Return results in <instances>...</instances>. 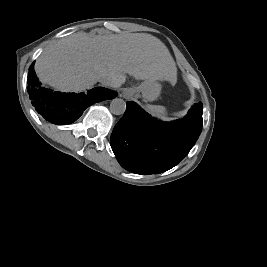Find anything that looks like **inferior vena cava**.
I'll use <instances>...</instances> for the list:
<instances>
[{
    "label": "inferior vena cava",
    "mask_w": 267,
    "mask_h": 267,
    "mask_svg": "<svg viewBox=\"0 0 267 267\" xmlns=\"http://www.w3.org/2000/svg\"><path fill=\"white\" fill-rule=\"evenodd\" d=\"M99 82L104 86L115 87V81L112 78L105 75L99 78Z\"/></svg>",
    "instance_id": "1"
}]
</instances>
